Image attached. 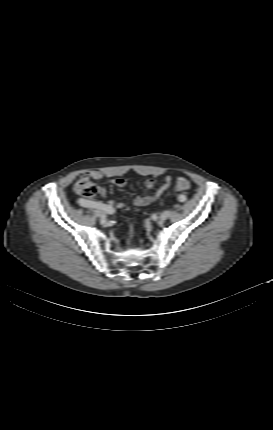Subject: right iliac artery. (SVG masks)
Wrapping results in <instances>:
<instances>
[{"label": "right iliac artery", "mask_w": 273, "mask_h": 430, "mask_svg": "<svg viewBox=\"0 0 273 430\" xmlns=\"http://www.w3.org/2000/svg\"><path fill=\"white\" fill-rule=\"evenodd\" d=\"M78 203H81V205H86V206H92V208L94 209H99V210H103L104 212L108 213V214H113L115 212V210L106 205V204H98L97 202H90V201H86V200H82L80 198L77 199Z\"/></svg>", "instance_id": "1"}]
</instances>
